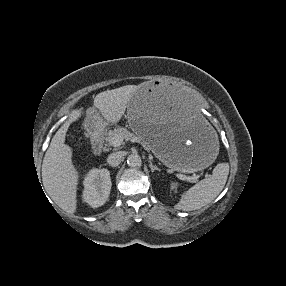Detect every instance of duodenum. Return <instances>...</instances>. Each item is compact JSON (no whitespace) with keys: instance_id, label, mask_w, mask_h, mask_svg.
Listing matches in <instances>:
<instances>
[{"instance_id":"duodenum-1","label":"duodenum","mask_w":286,"mask_h":286,"mask_svg":"<svg viewBox=\"0 0 286 286\" xmlns=\"http://www.w3.org/2000/svg\"><path fill=\"white\" fill-rule=\"evenodd\" d=\"M103 150V137L100 133H94L92 136V152L99 155Z\"/></svg>"}]
</instances>
